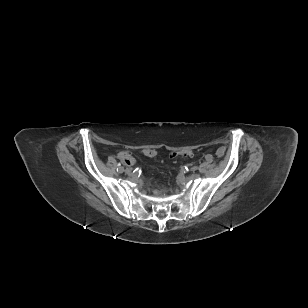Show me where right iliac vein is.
I'll list each match as a JSON object with an SVG mask.
<instances>
[{
  "instance_id": "1",
  "label": "right iliac vein",
  "mask_w": 308,
  "mask_h": 308,
  "mask_svg": "<svg viewBox=\"0 0 308 308\" xmlns=\"http://www.w3.org/2000/svg\"><path fill=\"white\" fill-rule=\"evenodd\" d=\"M125 173L130 174L131 173V169H126Z\"/></svg>"
}]
</instances>
